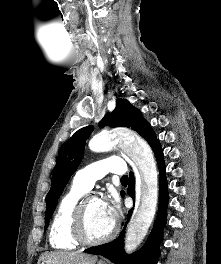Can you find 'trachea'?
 <instances>
[{"instance_id": "obj_1", "label": "trachea", "mask_w": 221, "mask_h": 264, "mask_svg": "<svg viewBox=\"0 0 221 264\" xmlns=\"http://www.w3.org/2000/svg\"><path fill=\"white\" fill-rule=\"evenodd\" d=\"M121 181L123 182L128 181V176L127 175L122 176Z\"/></svg>"}]
</instances>
